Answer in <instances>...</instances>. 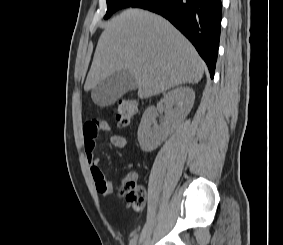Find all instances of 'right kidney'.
<instances>
[{
  "label": "right kidney",
  "mask_w": 283,
  "mask_h": 245,
  "mask_svg": "<svg viewBox=\"0 0 283 245\" xmlns=\"http://www.w3.org/2000/svg\"><path fill=\"white\" fill-rule=\"evenodd\" d=\"M195 100V92L190 87H177L169 91L163 98L164 110L167 114L163 125H158V108L148 107L138 128V141L144 152L155 150L173 131V125L181 122L191 111Z\"/></svg>",
  "instance_id": "ca27d5eb"
}]
</instances>
